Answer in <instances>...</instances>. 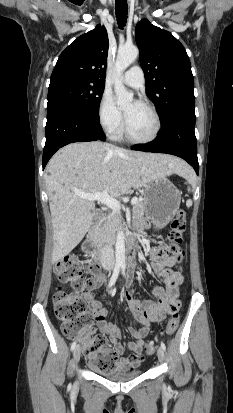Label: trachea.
Wrapping results in <instances>:
<instances>
[{
  "label": "trachea",
  "instance_id": "3493384b",
  "mask_svg": "<svg viewBox=\"0 0 233 413\" xmlns=\"http://www.w3.org/2000/svg\"><path fill=\"white\" fill-rule=\"evenodd\" d=\"M115 12L118 25L121 29L126 25L128 6L127 0H116L115 2Z\"/></svg>",
  "mask_w": 233,
  "mask_h": 413
}]
</instances>
